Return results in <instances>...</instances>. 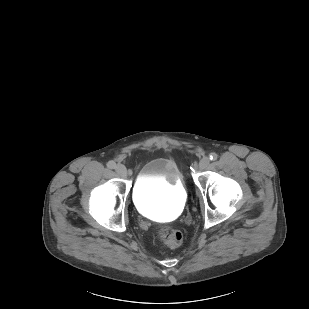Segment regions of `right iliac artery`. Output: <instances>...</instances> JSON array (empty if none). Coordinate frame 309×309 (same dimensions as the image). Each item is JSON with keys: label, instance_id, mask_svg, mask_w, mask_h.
<instances>
[{"label": "right iliac artery", "instance_id": "82829eb1", "mask_svg": "<svg viewBox=\"0 0 309 309\" xmlns=\"http://www.w3.org/2000/svg\"><path fill=\"white\" fill-rule=\"evenodd\" d=\"M107 167L110 169H114L116 167V163L114 161H109L107 163Z\"/></svg>", "mask_w": 309, "mask_h": 309}]
</instances>
